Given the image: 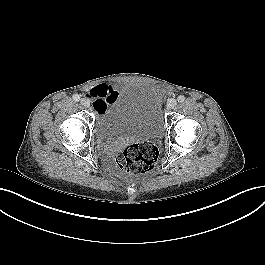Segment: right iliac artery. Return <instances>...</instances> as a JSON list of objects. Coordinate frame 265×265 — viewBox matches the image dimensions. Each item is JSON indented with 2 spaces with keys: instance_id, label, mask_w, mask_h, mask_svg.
Wrapping results in <instances>:
<instances>
[{
  "instance_id": "1",
  "label": "right iliac artery",
  "mask_w": 265,
  "mask_h": 265,
  "mask_svg": "<svg viewBox=\"0 0 265 265\" xmlns=\"http://www.w3.org/2000/svg\"><path fill=\"white\" fill-rule=\"evenodd\" d=\"M73 100L74 101H79L80 100V96L78 94L73 95Z\"/></svg>"
}]
</instances>
